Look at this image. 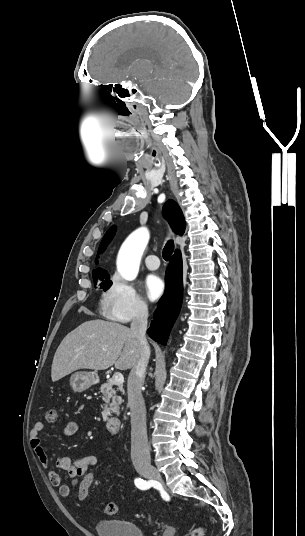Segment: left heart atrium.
Wrapping results in <instances>:
<instances>
[{
    "instance_id": "1",
    "label": "left heart atrium",
    "mask_w": 305,
    "mask_h": 536,
    "mask_svg": "<svg viewBox=\"0 0 305 536\" xmlns=\"http://www.w3.org/2000/svg\"><path fill=\"white\" fill-rule=\"evenodd\" d=\"M145 292L152 301L157 300L164 292V282L157 275L150 274L145 279Z\"/></svg>"
}]
</instances>
